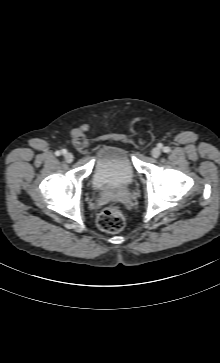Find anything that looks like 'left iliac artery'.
<instances>
[{
	"label": "left iliac artery",
	"instance_id": "left-iliac-artery-1",
	"mask_svg": "<svg viewBox=\"0 0 220 363\" xmlns=\"http://www.w3.org/2000/svg\"><path fill=\"white\" fill-rule=\"evenodd\" d=\"M163 151H164L165 153H168V152L170 151V149H169V147H164V148H163Z\"/></svg>",
	"mask_w": 220,
	"mask_h": 363
}]
</instances>
